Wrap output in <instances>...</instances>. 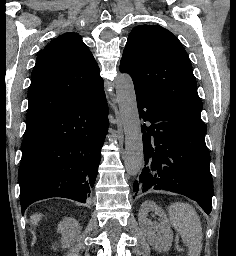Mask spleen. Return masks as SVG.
Instances as JSON below:
<instances>
[{"label": "spleen", "mask_w": 236, "mask_h": 256, "mask_svg": "<svg viewBox=\"0 0 236 256\" xmlns=\"http://www.w3.org/2000/svg\"><path fill=\"white\" fill-rule=\"evenodd\" d=\"M169 212L175 230H178L183 244L189 250V256H199L203 234L197 212L189 204H179V202L169 206Z\"/></svg>", "instance_id": "spleen-1"}]
</instances>
